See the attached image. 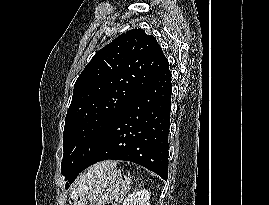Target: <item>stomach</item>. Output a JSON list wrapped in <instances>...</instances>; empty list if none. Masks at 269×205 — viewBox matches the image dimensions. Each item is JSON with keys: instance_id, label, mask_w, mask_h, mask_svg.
I'll use <instances>...</instances> for the list:
<instances>
[{"instance_id": "obj_1", "label": "stomach", "mask_w": 269, "mask_h": 205, "mask_svg": "<svg viewBox=\"0 0 269 205\" xmlns=\"http://www.w3.org/2000/svg\"><path fill=\"white\" fill-rule=\"evenodd\" d=\"M121 184V171L109 169L96 178L85 194L75 198L74 205H107L118 201L125 194Z\"/></svg>"}]
</instances>
